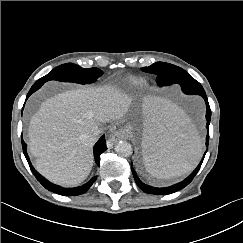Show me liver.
<instances>
[{
	"mask_svg": "<svg viewBox=\"0 0 243 243\" xmlns=\"http://www.w3.org/2000/svg\"><path fill=\"white\" fill-rule=\"evenodd\" d=\"M129 102L125 94L109 85L81 87L45 100L28 129L35 168L58 185L81 184L93 166V133L123 117Z\"/></svg>",
	"mask_w": 243,
	"mask_h": 243,
	"instance_id": "liver-1",
	"label": "liver"
}]
</instances>
